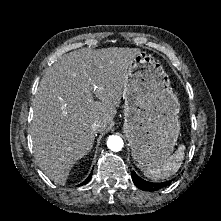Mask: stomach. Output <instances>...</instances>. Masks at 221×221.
I'll use <instances>...</instances> for the list:
<instances>
[{"label": "stomach", "instance_id": "stomach-1", "mask_svg": "<svg viewBox=\"0 0 221 221\" xmlns=\"http://www.w3.org/2000/svg\"><path fill=\"white\" fill-rule=\"evenodd\" d=\"M124 126L136 165L161 166L173 152L180 133V103L169 75L152 54L131 61L123 86Z\"/></svg>", "mask_w": 221, "mask_h": 221}]
</instances>
